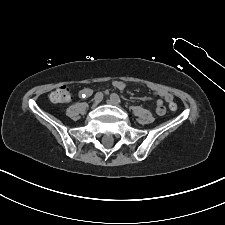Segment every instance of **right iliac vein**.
I'll use <instances>...</instances> for the list:
<instances>
[{
	"instance_id": "obj_1",
	"label": "right iliac vein",
	"mask_w": 225,
	"mask_h": 225,
	"mask_svg": "<svg viewBox=\"0 0 225 225\" xmlns=\"http://www.w3.org/2000/svg\"><path fill=\"white\" fill-rule=\"evenodd\" d=\"M99 104V100H95V102L92 105V108L95 109Z\"/></svg>"
}]
</instances>
